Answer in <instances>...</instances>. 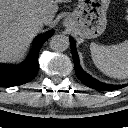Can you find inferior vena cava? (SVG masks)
<instances>
[{
	"label": "inferior vena cava",
	"mask_w": 128,
	"mask_h": 128,
	"mask_svg": "<svg viewBox=\"0 0 128 128\" xmlns=\"http://www.w3.org/2000/svg\"><path fill=\"white\" fill-rule=\"evenodd\" d=\"M49 19V12L47 10H42L39 14V20L43 23H46Z\"/></svg>",
	"instance_id": "inferior-vena-cava-1"
}]
</instances>
